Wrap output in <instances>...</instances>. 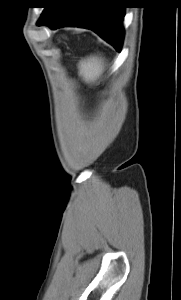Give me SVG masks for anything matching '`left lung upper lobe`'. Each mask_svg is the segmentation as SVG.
<instances>
[{
	"mask_svg": "<svg viewBox=\"0 0 181 300\" xmlns=\"http://www.w3.org/2000/svg\"><path fill=\"white\" fill-rule=\"evenodd\" d=\"M54 2H56V0H51V3H54ZM49 9V7H46L45 9H44V11H43V14H42V16L47 12V10ZM41 16V17H42ZM41 19V18H40ZM39 19V20H40ZM39 22V21H38Z\"/></svg>",
	"mask_w": 181,
	"mask_h": 300,
	"instance_id": "left-lung-upper-lobe-1",
	"label": "left lung upper lobe"
}]
</instances>
